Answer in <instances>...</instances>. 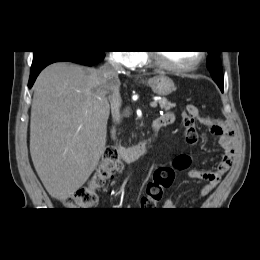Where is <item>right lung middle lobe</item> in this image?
I'll use <instances>...</instances> for the list:
<instances>
[{"instance_id": "1", "label": "right lung middle lobe", "mask_w": 260, "mask_h": 260, "mask_svg": "<svg viewBox=\"0 0 260 260\" xmlns=\"http://www.w3.org/2000/svg\"><path fill=\"white\" fill-rule=\"evenodd\" d=\"M39 54H40V52L34 51V56H37V55H39Z\"/></svg>"}]
</instances>
